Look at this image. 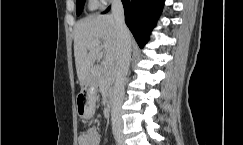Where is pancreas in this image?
I'll list each match as a JSON object with an SVG mask.
<instances>
[{
	"instance_id": "1",
	"label": "pancreas",
	"mask_w": 243,
	"mask_h": 145,
	"mask_svg": "<svg viewBox=\"0 0 243 145\" xmlns=\"http://www.w3.org/2000/svg\"><path fill=\"white\" fill-rule=\"evenodd\" d=\"M95 79L105 90H110L114 81V64L101 63L96 69Z\"/></svg>"
}]
</instances>
